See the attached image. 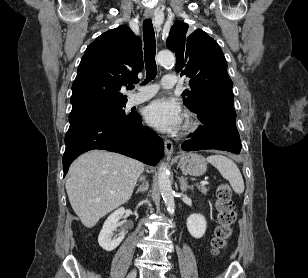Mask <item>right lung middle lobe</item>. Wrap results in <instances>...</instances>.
<instances>
[{
	"mask_svg": "<svg viewBox=\"0 0 308 278\" xmlns=\"http://www.w3.org/2000/svg\"><path fill=\"white\" fill-rule=\"evenodd\" d=\"M124 106L125 103H122L90 111L81 115L69 116V121L71 122L73 120L85 117H99L106 120H118V119H126L132 117L134 114H128V115L125 114V111L123 110Z\"/></svg>",
	"mask_w": 308,
	"mask_h": 278,
	"instance_id": "right-lung-middle-lobe-1",
	"label": "right lung middle lobe"
}]
</instances>
